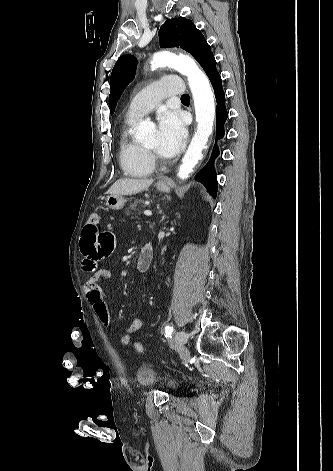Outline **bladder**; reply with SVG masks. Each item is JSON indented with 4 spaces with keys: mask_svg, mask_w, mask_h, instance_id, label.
I'll return each mask as SVG.
<instances>
[{
    "mask_svg": "<svg viewBox=\"0 0 333 471\" xmlns=\"http://www.w3.org/2000/svg\"><path fill=\"white\" fill-rule=\"evenodd\" d=\"M135 378L138 384L145 388L161 386L168 392H174L180 387L177 380L163 375L154 367L146 363L141 364L137 368Z\"/></svg>",
    "mask_w": 333,
    "mask_h": 471,
    "instance_id": "obj_1",
    "label": "bladder"
}]
</instances>
